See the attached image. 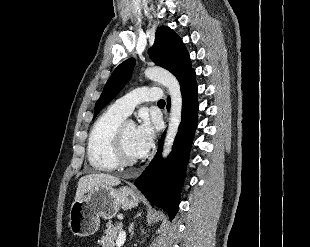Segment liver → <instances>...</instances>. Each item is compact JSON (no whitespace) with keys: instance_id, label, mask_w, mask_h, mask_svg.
Segmentation results:
<instances>
[{"instance_id":"1","label":"liver","mask_w":310,"mask_h":247,"mask_svg":"<svg viewBox=\"0 0 310 247\" xmlns=\"http://www.w3.org/2000/svg\"><path fill=\"white\" fill-rule=\"evenodd\" d=\"M120 179L105 173L88 174L79 179L75 199H79L84 194L90 192L97 186H117L120 184Z\"/></svg>"}]
</instances>
